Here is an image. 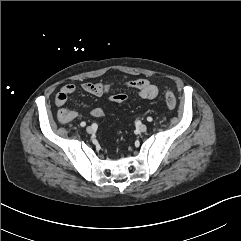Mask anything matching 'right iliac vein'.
<instances>
[{"label": "right iliac vein", "mask_w": 241, "mask_h": 241, "mask_svg": "<svg viewBox=\"0 0 241 241\" xmlns=\"http://www.w3.org/2000/svg\"><path fill=\"white\" fill-rule=\"evenodd\" d=\"M87 133L91 134L93 132V128L91 126H88L86 128Z\"/></svg>", "instance_id": "1"}]
</instances>
